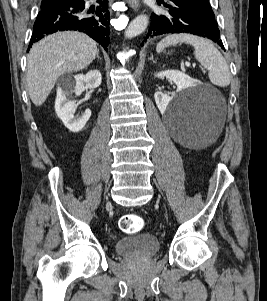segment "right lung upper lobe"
<instances>
[{
  "instance_id": "obj_1",
  "label": "right lung upper lobe",
  "mask_w": 267,
  "mask_h": 301,
  "mask_svg": "<svg viewBox=\"0 0 267 301\" xmlns=\"http://www.w3.org/2000/svg\"><path fill=\"white\" fill-rule=\"evenodd\" d=\"M43 1H48V2H50L51 4H54V3H57V2H59V1H61V0H43Z\"/></svg>"
}]
</instances>
